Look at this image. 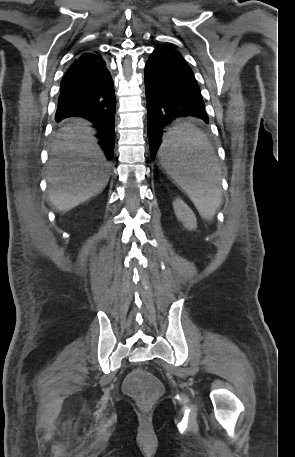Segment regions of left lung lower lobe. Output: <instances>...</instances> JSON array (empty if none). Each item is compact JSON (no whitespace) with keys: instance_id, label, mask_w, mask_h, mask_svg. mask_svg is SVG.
Masks as SVG:
<instances>
[{"instance_id":"left-lung-lower-lobe-1","label":"left lung lower lobe","mask_w":295,"mask_h":457,"mask_svg":"<svg viewBox=\"0 0 295 457\" xmlns=\"http://www.w3.org/2000/svg\"><path fill=\"white\" fill-rule=\"evenodd\" d=\"M144 81L148 138L151 159H154L163 142L165 127L171 121L188 116L205 123L209 119L194 73L173 47L161 45L154 49L145 65ZM193 159L196 160L194 156Z\"/></svg>"}]
</instances>
